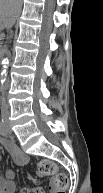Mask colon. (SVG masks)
<instances>
[{
  "mask_svg": "<svg viewBox=\"0 0 103 193\" xmlns=\"http://www.w3.org/2000/svg\"><path fill=\"white\" fill-rule=\"evenodd\" d=\"M38 171L45 176H53L54 184L59 190H66L69 186L68 176L59 170L56 163L50 159H41L38 163Z\"/></svg>",
  "mask_w": 103,
  "mask_h": 193,
  "instance_id": "5ec220e1",
  "label": "colon"
}]
</instances>
